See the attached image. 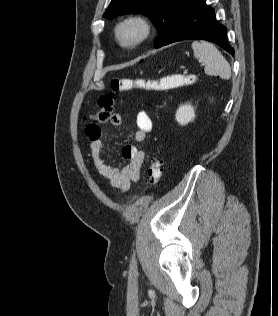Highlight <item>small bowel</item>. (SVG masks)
Here are the masks:
<instances>
[{
    "mask_svg": "<svg viewBox=\"0 0 278 316\" xmlns=\"http://www.w3.org/2000/svg\"><path fill=\"white\" fill-rule=\"evenodd\" d=\"M110 123L113 126L122 124V117L119 113L111 115ZM137 130L135 132V140L142 142L152 131V120L149 114L141 110L136 117ZM86 135L90 139V151L94 165L98 173L107 179L110 184L122 191L130 188L133 182H137L140 178L141 169L145 160V152L134 145H126L122 148V155L129 160V163L122 169L115 168L105 162L102 158L104 151V143L101 137L100 128L87 127Z\"/></svg>",
    "mask_w": 278,
    "mask_h": 316,
    "instance_id": "1",
    "label": "small bowel"
}]
</instances>
